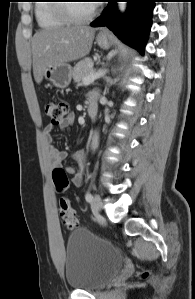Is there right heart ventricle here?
<instances>
[{"instance_id":"right-heart-ventricle-1","label":"right heart ventricle","mask_w":195,"mask_h":299,"mask_svg":"<svg viewBox=\"0 0 195 299\" xmlns=\"http://www.w3.org/2000/svg\"><path fill=\"white\" fill-rule=\"evenodd\" d=\"M56 0H40L35 5L34 13L41 28H57L69 22L63 18L56 9Z\"/></svg>"}]
</instances>
